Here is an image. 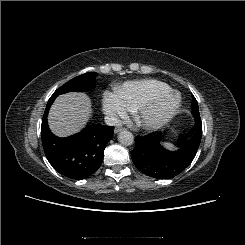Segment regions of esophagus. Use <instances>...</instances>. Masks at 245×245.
<instances>
[{
	"label": "esophagus",
	"instance_id": "esophagus-1",
	"mask_svg": "<svg viewBox=\"0 0 245 245\" xmlns=\"http://www.w3.org/2000/svg\"><path fill=\"white\" fill-rule=\"evenodd\" d=\"M124 129H125L124 127L118 126V127L115 128L114 132L118 133V132H120V131H122Z\"/></svg>",
	"mask_w": 245,
	"mask_h": 245
}]
</instances>
